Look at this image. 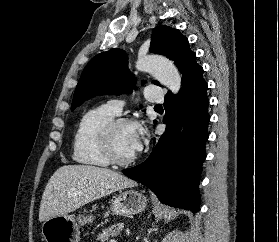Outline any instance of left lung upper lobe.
<instances>
[{"instance_id":"obj_1","label":"left lung upper lobe","mask_w":279,"mask_h":242,"mask_svg":"<svg viewBox=\"0 0 279 242\" xmlns=\"http://www.w3.org/2000/svg\"><path fill=\"white\" fill-rule=\"evenodd\" d=\"M150 52L173 60L182 73L190 56L188 40L176 29L158 26L153 29ZM136 78L128 72L127 56L120 49H111L94 56L84 68L73 96L72 111L86 99L100 94H121L131 91ZM154 84L160 85L157 81Z\"/></svg>"}]
</instances>
